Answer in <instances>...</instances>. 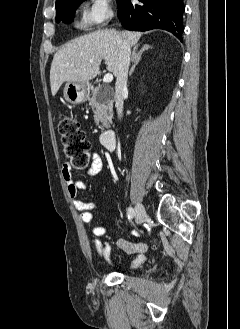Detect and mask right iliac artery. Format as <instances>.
Listing matches in <instances>:
<instances>
[{
	"label": "right iliac artery",
	"instance_id": "1",
	"mask_svg": "<svg viewBox=\"0 0 240 329\" xmlns=\"http://www.w3.org/2000/svg\"><path fill=\"white\" fill-rule=\"evenodd\" d=\"M133 216H134V209L132 207H129L127 209V217L129 219V221L132 220Z\"/></svg>",
	"mask_w": 240,
	"mask_h": 329
}]
</instances>
